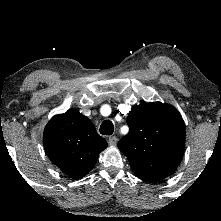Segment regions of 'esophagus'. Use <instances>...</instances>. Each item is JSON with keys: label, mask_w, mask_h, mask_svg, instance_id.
Returning <instances> with one entry per match:
<instances>
[{"label": "esophagus", "mask_w": 221, "mask_h": 221, "mask_svg": "<svg viewBox=\"0 0 221 221\" xmlns=\"http://www.w3.org/2000/svg\"><path fill=\"white\" fill-rule=\"evenodd\" d=\"M117 137L116 136H110L108 139V143L111 146H115L117 144Z\"/></svg>", "instance_id": "obj_1"}]
</instances>
